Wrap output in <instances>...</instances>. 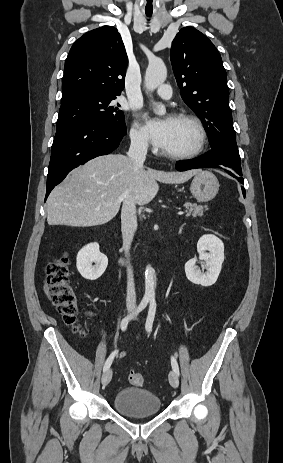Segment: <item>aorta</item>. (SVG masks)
Segmentation results:
<instances>
[{
	"label": "aorta",
	"mask_w": 283,
	"mask_h": 463,
	"mask_svg": "<svg viewBox=\"0 0 283 463\" xmlns=\"http://www.w3.org/2000/svg\"><path fill=\"white\" fill-rule=\"evenodd\" d=\"M167 77V69L161 60H155L149 63L145 74V86L148 92L154 91L161 85ZM154 111L157 115H164L166 109L163 105L157 104L152 100ZM154 269L147 265L145 269V299H154L155 297Z\"/></svg>",
	"instance_id": "762f6f07"
}]
</instances>
